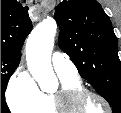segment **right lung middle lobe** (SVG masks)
Segmentation results:
<instances>
[{
    "mask_svg": "<svg viewBox=\"0 0 121 113\" xmlns=\"http://www.w3.org/2000/svg\"><path fill=\"white\" fill-rule=\"evenodd\" d=\"M19 62V58L1 54V113H10L5 102V90L10 76L18 67Z\"/></svg>",
    "mask_w": 121,
    "mask_h": 113,
    "instance_id": "dd1d6c3e",
    "label": "right lung middle lobe"
}]
</instances>
